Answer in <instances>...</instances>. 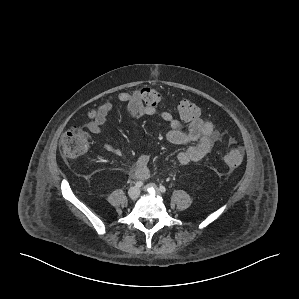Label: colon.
I'll use <instances>...</instances> for the list:
<instances>
[{
  "mask_svg": "<svg viewBox=\"0 0 299 299\" xmlns=\"http://www.w3.org/2000/svg\"><path fill=\"white\" fill-rule=\"evenodd\" d=\"M142 100L149 106H158L161 101V94L157 89L143 87L140 89ZM178 113L181 119L189 122L200 115L198 105L184 99L178 104ZM95 114H93L94 116ZM88 148V134L79 127L70 128L62 137L61 150L66 160H74L83 155ZM243 151L239 148L228 149L222 156L223 163L231 169L237 168L243 162Z\"/></svg>",
  "mask_w": 299,
  "mask_h": 299,
  "instance_id": "5ec220e1",
  "label": "colon"
}]
</instances>
